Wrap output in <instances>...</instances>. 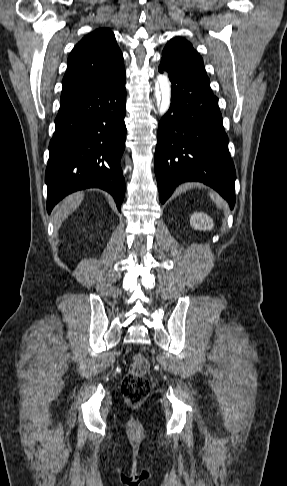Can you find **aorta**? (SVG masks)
I'll return each instance as SVG.
<instances>
[{"mask_svg": "<svg viewBox=\"0 0 287 486\" xmlns=\"http://www.w3.org/2000/svg\"><path fill=\"white\" fill-rule=\"evenodd\" d=\"M155 99L158 110L166 113L170 107L171 102V86L167 75H163L155 83Z\"/></svg>", "mask_w": 287, "mask_h": 486, "instance_id": "obj_1", "label": "aorta"}]
</instances>
